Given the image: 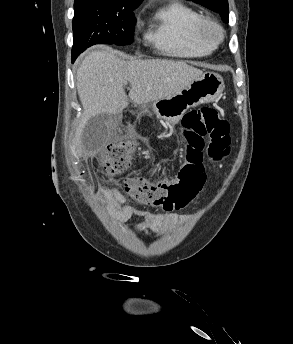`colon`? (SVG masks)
<instances>
[{
    "mask_svg": "<svg viewBox=\"0 0 293 344\" xmlns=\"http://www.w3.org/2000/svg\"><path fill=\"white\" fill-rule=\"evenodd\" d=\"M181 134L185 143V164L175 179L151 181L138 174H128L122 188L134 200L167 211L186 207L202 186L195 177L197 166L203 165V149L213 162L221 161L230 150L229 124L220 109L203 107L191 110L182 119ZM141 142L129 140L117 143L96 157L110 175L128 171L134 162Z\"/></svg>",
    "mask_w": 293,
    "mask_h": 344,
    "instance_id": "obj_1",
    "label": "colon"
}]
</instances>
